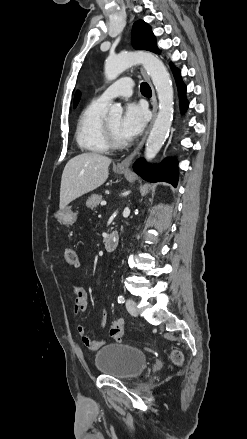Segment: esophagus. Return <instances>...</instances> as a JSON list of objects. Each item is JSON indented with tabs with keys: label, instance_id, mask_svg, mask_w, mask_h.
<instances>
[{
	"label": "esophagus",
	"instance_id": "obj_1",
	"mask_svg": "<svg viewBox=\"0 0 247 439\" xmlns=\"http://www.w3.org/2000/svg\"><path fill=\"white\" fill-rule=\"evenodd\" d=\"M141 73L143 74V76L145 77V79L148 81V83H149V85H150V87H151V90H152L151 103H152V108H153V109H152L153 117H152V121H151L149 127L147 128V130H146V132H145V134H144L142 140L140 141V143L138 144V146L136 147V149H135V150H134L129 156H127L125 159L120 160V161L117 163V168H118V169H122V170H127V169L129 168V166H130L132 160L134 159V157L140 152V150H141V148L143 147L144 142H145V140H146V138H147V135H148V133H149V131H150V128H151V126H152V124H153V121H154V119H155V117H156V114H157V99H156V94H155L154 87H153V85H152V83H151V80H150L149 76L147 75V73H146V71L144 70L143 67H141Z\"/></svg>",
	"mask_w": 247,
	"mask_h": 439
}]
</instances>
